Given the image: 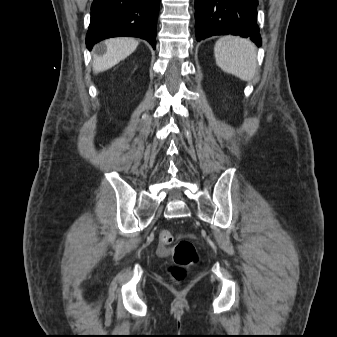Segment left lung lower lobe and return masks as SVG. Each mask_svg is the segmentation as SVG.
<instances>
[{"instance_id":"1","label":"left lung lower lobe","mask_w":337,"mask_h":337,"mask_svg":"<svg viewBox=\"0 0 337 337\" xmlns=\"http://www.w3.org/2000/svg\"><path fill=\"white\" fill-rule=\"evenodd\" d=\"M258 0H195L197 41L213 35L249 37L257 46L262 39L256 23Z\"/></svg>"}]
</instances>
